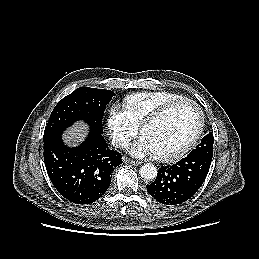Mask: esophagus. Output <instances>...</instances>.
<instances>
[{
    "label": "esophagus",
    "instance_id": "esophagus-1",
    "mask_svg": "<svg viewBox=\"0 0 259 259\" xmlns=\"http://www.w3.org/2000/svg\"><path fill=\"white\" fill-rule=\"evenodd\" d=\"M123 161H124L125 163H129V164H132V165H135V166H138V165L141 164V162L135 161V160H131V159H129V158H124Z\"/></svg>",
    "mask_w": 259,
    "mask_h": 259
}]
</instances>
